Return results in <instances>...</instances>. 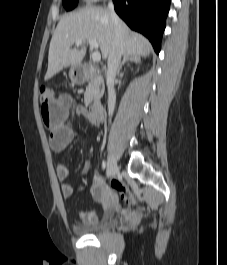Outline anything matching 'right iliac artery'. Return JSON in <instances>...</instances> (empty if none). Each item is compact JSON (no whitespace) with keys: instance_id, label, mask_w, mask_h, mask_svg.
Wrapping results in <instances>:
<instances>
[{"instance_id":"obj_1","label":"right iliac artery","mask_w":227,"mask_h":265,"mask_svg":"<svg viewBox=\"0 0 227 265\" xmlns=\"http://www.w3.org/2000/svg\"><path fill=\"white\" fill-rule=\"evenodd\" d=\"M102 167H103V169H105V167H106V163H105V161H103V163H102ZM107 171H108V165H107Z\"/></svg>"}]
</instances>
